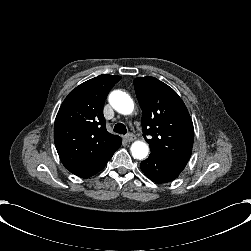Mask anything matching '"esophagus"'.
<instances>
[{
	"mask_svg": "<svg viewBox=\"0 0 251 251\" xmlns=\"http://www.w3.org/2000/svg\"><path fill=\"white\" fill-rule=\"evenodd\" d=\"M126 139H127L128 142H132V141L135 140V136L133 134H128L126 136Z\"/></svg>",
	"mask_w": 251,
	"mask_h": 251,
	"instance_id": "1",
	"label": "esophagus"
}]
</instances>
